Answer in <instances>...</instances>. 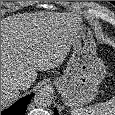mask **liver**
Segmentation results:
<instances>
[{
  "label": "liver",
  "instance_id": "obj_1",
  "mask_svg": "<svg viewBox=\"0 0 115 115\" xmlns=\"http://www.w3.org/2000/svg\"><path fill=\"white\" fill-rule=\"evenodd\" d=\"M76 23L50 13L17 14L1 20V110L19 97L14 86L17 79L30 87L37 71L62 64L77 35Z\"/></svg>",
  "mask_w": 115,
  "mask_h": 115
}]
</instances>
